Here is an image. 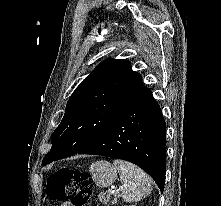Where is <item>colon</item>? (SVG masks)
<instances>
[{"instance_id": "obj_1", "label": "colon", "mask_w": 221, "mask_h": 206, "mask_svg": "<svg viewBox=\"0 0 221 206\" xmlns=\"http://www.w3.org/2000/svg\"><path fill=\"white\" fill-rule=\"evenodd\" d=\"M93 189L89 173L72 168H61L47 181V192L54 200H67L72 206H85Z\"/></svg>"}]
</instances>
